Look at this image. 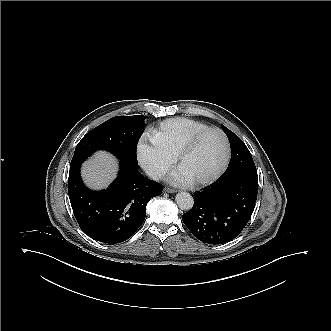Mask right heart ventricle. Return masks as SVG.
I'll return each instance as SVG.
<instances>
[{
  "label": "right heart ventricle",
  "mask_w": 331,
  "mask_h": 331,
  "mask_svg": "<svg viewBox=\"0 0 331 331\" xmlns=\"http://www.w3.org/2000/svg\"><path fill=\"white\" fill-rule=\"evenodd\" d=\"M206 129L209 126L201 121L174 117L160 124L152 134V142L157 149L176 155L190 138Z\"/></svg>",
  "instance_id": "e07e8e85"
}]
</instances>
